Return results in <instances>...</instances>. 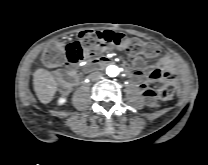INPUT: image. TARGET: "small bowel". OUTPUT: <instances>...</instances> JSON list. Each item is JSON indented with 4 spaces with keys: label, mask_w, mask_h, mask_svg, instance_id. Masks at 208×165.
Listing matches in <instances>:
<instances>
[{
    "label": "small bowel",
    "mask_w": 208,
    "mask_h": 165,
    "mask_svg": "<svg viewBox=\"0 0 208 165\" xmlns=\"http://www.w3.org/2000/svg\"><path fill=\"white\" fill-rule=\"evenodd\" d=\"M103 49H105V47ZM110 62V56H95L89 58V64L91 66H96L97 64H109ZM121 64L123 67L128 68L126 62H122ZM132 67L135 69L133 77L139 83L143 96L149 105H153L155 98V92L149 85L150 81L172 83L177 78V69L172 58L168 55L161 56L154 64L148 66L142 56H136L132 60ZM146 68L150 70L149 74L145 72ZM76 69L77 65L73 61H70L65 65V70L68 72L67 78L72 83L77 82L80 78V74Z\"/></svg>",
    "instance_id": "c3829d8e"
}]
</instances>
